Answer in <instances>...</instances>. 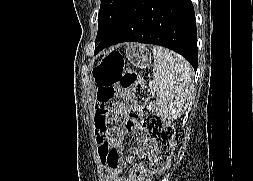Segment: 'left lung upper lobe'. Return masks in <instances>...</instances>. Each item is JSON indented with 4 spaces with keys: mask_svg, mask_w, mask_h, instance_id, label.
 Listing matches in <instances>:
<instances>
[{
    "mask_svg": "<svg viewBox=\"0 0 253 181\" xmlns=\"http://www.w3.org/2000/svg\"><path fill=\"white\" fill-rule=\"evenodd\" d=\"M130 1L101 0L96 41H99L114 26Z\"/></svg>",
    "mask_w": 253,
    "mask_h": 181,
    "instance_id": "left-lung-upper-lobe-1",
    "label": "left lung upper lobe"
}]
</instances>
